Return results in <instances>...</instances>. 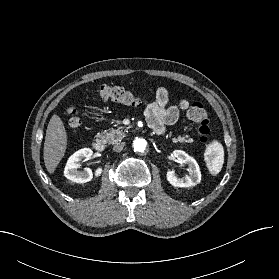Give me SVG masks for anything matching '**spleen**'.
Here are the masks:
<instances>
[{
    "mask_svg": "<svg viewBox=\"0 0 279 279\" xmlns=\"http://www.w3.org/2000/svg\"><path fill=\"white\" fill-rule=\"evenodd\" d=\"M207 153L209 155L208 168L212 175H217L224 163V149L221 143L214 141L208 148Z\"/></svg>",
    "mask_w": 279,
    "mask_h": 279,
    "instance_id": "1",
    "label": "spleen"
}]
</instances>
